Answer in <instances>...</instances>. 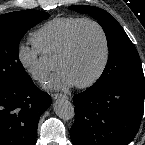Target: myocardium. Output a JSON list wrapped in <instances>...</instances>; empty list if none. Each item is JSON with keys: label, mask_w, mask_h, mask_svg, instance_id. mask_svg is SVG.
<instances>
[{"label": "myocardium", "mask_w": 145, "mask_h": 145, "mask_svg": "<svg viewBox=\"0 0 145 145\" xmlns=\"http://www.w3.org/2000/svg\"><path fill=\"white\" fill-rule=\"evenodd\" d=\"M84 24H91L99 30V32L102 36L103 45H104V57H103L101 66L99 67L98 71L95 73V75L92 78H90L86 82L75 84V86L79 89H86V88H89V87H92L93 85H95L104 75V73L109 65L110 57H111V47H110L109 37H108V34H107L105 28L98 21H96L94 19L82 18L80 21H78L75 24V26L69 32L67 39H66L62 49L56 55L55 60L64 58L70 54V52L72 51L73 46H74L76 34H77L79 28Z\"/></svg>", "instance_id": "obj_1"}]
</instances>
